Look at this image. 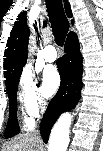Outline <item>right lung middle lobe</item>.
Instances as JSON below:
<instances>
[{
  "instance_id": "right-lung-middle-lobe-1",
  "label": "right lung middle lobe",
  "mask_w": 103,
  "mask_h": 151,
  "mask_svg": "<svg viewBox=\"0 0 103 151\" xmlns=\"http://www.w3.org/2000/svg\"><path fill=\"white\" fill-rule=\"evenodd\" d=\"M19 79L6 85L7 94L9 98L10 116L4 133V137L10 138L19 133V126L17 122V88Z\"/></svg>"
}]
</instances>
